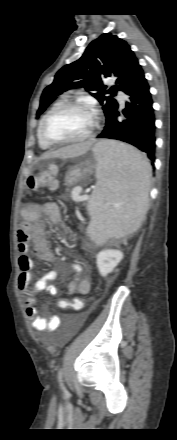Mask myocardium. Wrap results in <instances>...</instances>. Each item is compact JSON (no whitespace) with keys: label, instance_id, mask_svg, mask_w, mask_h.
I'll list each match as a JSON object with an SVG mask.
<instances>
[{"label":"myocardium","instance_id":"obj_1","mask_svg":"<svg viewBox=\"0 0 177 440\" xmlns=\"http://www.w3.org/2000/svg\"><path fill=\"white\" fill-rule=\"evenodd\" d=\"M71 109L84 110L89 113V115L92 117V120H93V125H92L90 131L86 135H84L83 137L78 138V139H72V140H58V139H54V138L50 137L47 133V126H48L49 122L59 113L67 111V110H71ZM97 128H98V121L95 118V116L92 113L89 106L82 104V103H77V102H66V103L56 107L55 109H53L45 117V119L43 120L42 125H41V136L46 142H48L51 145L77 144V143L85 142V141L89 140L90 138H92V136L94 135Z\"/></svg>","mask_w":177,"mask_h":440}]
</instances>
